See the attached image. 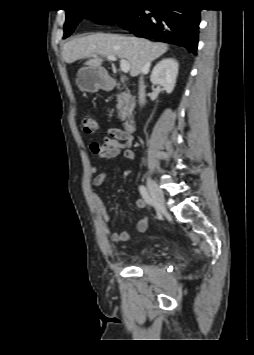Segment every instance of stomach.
Listing matches in <instances>:
<instances>
[{"mask_svg":"<svg viewBox=\"0 0 254 355\" xmlns=\"http://www.w3.org/2000/svg\"><path fill=\"white\" fill-rule=\"evenodd\" d=\"M76 84L81 90L94 93L112 87V80L104 68L89 65L79 69Z\"/></svg>","mask_w":254,"mask_h":355,"instance_id":"stomach-1","label":"stomach"}]
</instances>
